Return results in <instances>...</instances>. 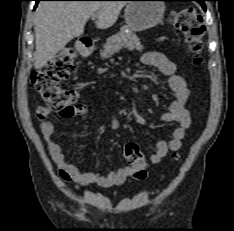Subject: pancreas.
<instances>
[{"label":"pancreas","instance_id":"pancreas-1","mask_svg":"<svg viewBox=\"0 0 234 231\" xmlns=\"http://www.w3.org/2000/svg\"><path fill=\"white\" fill-rule=\"evenodd\" d=\"M103 48L104 49L101 51V58L107 59L122 48L142 51L143 45L140 43V39L135 33L128 27L123 26L118 33L107 39Z\"/></svg>","mask_w":234,"mask_h":231}]
</instances>
